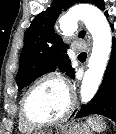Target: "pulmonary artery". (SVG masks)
<instances>
[{
    "label": "pulmonary artery",
    "mask_w": 116,
    "mask_h": 134,
    "mask_svg": "<svg viewBox=\"0 0 116 134\" xmlns=\"http://www.w3.org/2000/svg\"><path fill=\"white\" fill-rule=\"evenodd\" d=\"M87 44L85 41L77 40L72 43L71 49L74 53H80L85 51Z\"/></svg>",
    "instance_id": "obj_1"
}]
</instances>
